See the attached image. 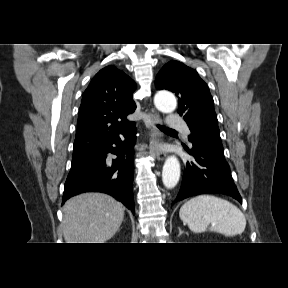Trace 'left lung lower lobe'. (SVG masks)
Masks as SVG:
<instances>
[{"instance_id":"obj_1","label":"left lung lower lobe","mask_w":288,"mask_h":288,"mask_svg":"<svg viewBox=\"0 0 288 288\" xmlns=\"http://www.w3.org/2000/svg\"><path fill=\"white\" fill-rule=\"evenodd\" d=\"M186 150L194 160L186 163L181 188L174 202L209 192L229 195L242 202L224 153L200 141H191V149Z\"/></svg>"}]
</instances>
